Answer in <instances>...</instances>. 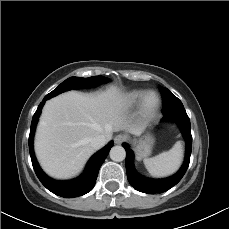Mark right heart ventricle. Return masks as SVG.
<instances>
[{
    "label": "right heart ventricle",
    "mask_w": 229,
    "mask_h": 229,
    "mask_svg": "<svg viewBox=\"0 0 229 229\" xmlns=\"http://www.w3.org/2000/svg\"><path fill=\"white\" fill-rule=\"evenodd\" d=\"M147 93L146 90H133L121 96L117 101V107L121 111H129L136 107Z\"/></svg>",
    "instance_id": "1"
}]
</instances>
